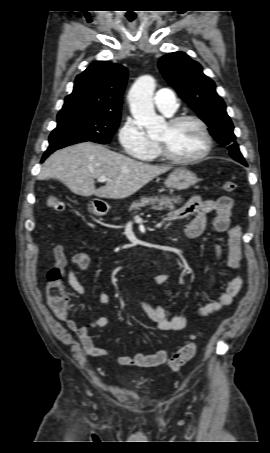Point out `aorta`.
I'll list each match as a JSON object with an SVG mask.
<instances>
[{"label":"aorta","mask_w":270,"mask_h":453,"mask_svg":"<svg viewBox=\"0 0 270 453\" xmlns=\"http://www.w3.org/2000/svg\"><path fill=\"white\" fill-rule=\"evenodd\" d=\"M155 80L152 76L139 77L131 87L128 99L131 113L139 126L146 128L148 135L158 134L164 128V119L155 113L152 97Z\"/></svg>","instance_id":"aorta-1"}]
</instances>
